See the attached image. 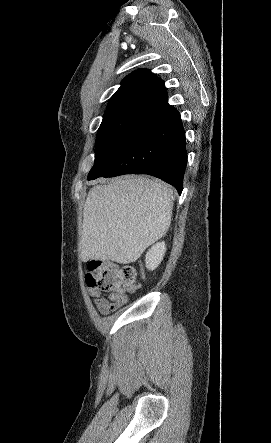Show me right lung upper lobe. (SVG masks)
I'll return each instance as SVG.
<instances>
[{"mask_svg": "<svg viewBox=\"0 0 271 443\" xmlns=\"http://www.w3.org/2000/svg\"><path fill=\"white\" fill-rule=\"evenodd\" d=\"M164 82L148 69H139L129 74L108 104L121 102H146L153 105L167 101Z\"/></svg>", "mask_w": 271, "mask_h": 443, "instance_id": "right-lung-upper-lobe-1", "label": "right lung upper lobe"}]
</instances>
